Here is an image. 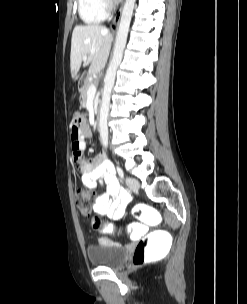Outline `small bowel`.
<instances>
[{"label":"small bowel","instance_id":"obj_1","mask_svg":"<svg viewBox=\"0 0 247 304\" xmlns=\"http://www.w3.org/2000/svg\"><path fill=\"white\" fill-rule=\"evenodd\" d=\"M71 119H82V112H71ZM70 124V151L82 184L90 190L104 187V191L95 198L93 210L114 220L122 218L131 196L120 187L114 167L104 153L91 160L83 158L85 138L91 135L88 125L82 123V120H71Z\"/></svg>","mask_w":247,"mask_h":304}]
</instances>
